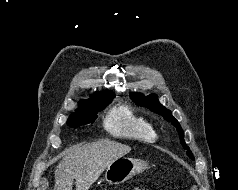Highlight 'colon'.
Segmentation results:
<instances>
[{"label": "colon", "mask_w": 238, "mask_h": 190, "mask_svg": "<svg viewBox=\"0 0 238 190\" xmlns=\"http://www.w3.org/2000/svg\"><path fill=\"white\" fill-rule=\"evenodd\" d=\"M133 190H146V189L137 187V188H134Z\"/></svg>", "instance_id": "obj_1"}]
</instances>
